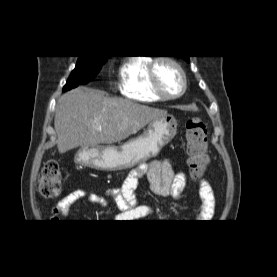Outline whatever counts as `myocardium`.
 Listing matches in <instances>:
<instances>
[{
    "label": "myocardium",
    "instance_id": "obj_1",
    "mask_svg": "<svg viewBox=\"0 0 277 277\" xmlns=\"http://www.w3.org/2000/svg\"><path fill=\"white\" fill-rule=\"evenodd\" d=\"M160 62H166V63L172 65L173 67H175L176 70L178 71V73L182 79V88L177 94L168 95L161 88L159 79H158V75H157V66H158V63H160ZM149 77H150V83H151L152 90L163 100H173V99L179 98L186 92L187 87H188V80H187V76H186L183 66L175 58L170 57V56L157 57L153 61H151L150 66H149Z\"/></svg>",
    "mask_w": 277,
    "mask_h": 277
}]
</instances>
